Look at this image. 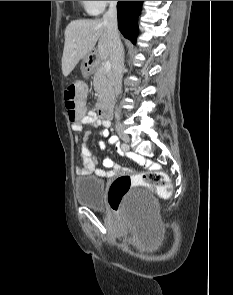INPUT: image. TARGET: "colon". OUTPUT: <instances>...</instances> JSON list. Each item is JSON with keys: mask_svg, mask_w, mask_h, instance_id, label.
<instances>
[{"mask_svg": "<svg viewBox=\"0 0 233 295\" xmlns=\"http://www.w3.org/2000/svg\"><path fill=\"white\" fill-rule=\"evenodd\" d=\"M86 93V86L82 82L72 83L64 91L65 109L69 118L74 122L85 113ZM138 186L154 187L163 197L168 196L171 192L169 180L162 172L150 171L136 176H119L111 183L108 192V203L111 209L119 210L130 191Z\"/></svg>", "mask_w": 233, "mask_h": 295, "instance_id": "obj_1", "label": "colon"}]
</instances>
